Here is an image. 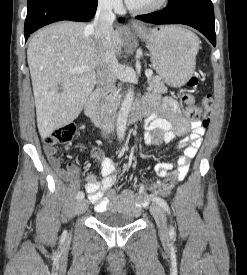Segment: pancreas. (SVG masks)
<instances>
[{"mask_svg":"<svg viewBox=\"0 0 247 275\" xmlns=\"http://www.w3.org/2000/svg\"><path fill=\"white\" fill-rule=\"evenodd\" d=\"M148 90L156 93H166L167 87L161 81L159 77H150L148 78ZM121 95L119 94V90L115 91L106 104V107L116 108L120 102Z\"/></svg>","mask_w":247,"mask_h":275,"instance_id":"pancreas-1","label":"pancreas"}]
</instances>
